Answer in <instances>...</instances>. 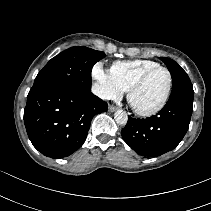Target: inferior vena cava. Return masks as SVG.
Masks as SVG:
<instances>
[{
	"label": "inferior vena cava",
	"mask_w": 211,
	"mask_h": 211,
	"mask_svg": "<svg viewBox=\"0 0 211 211\" xmlns=\"http://www.w3.org/2000/svg\"><path fill=\"white\" fill-rule=\"evenodd\" d=\"M92 92L102 99H108L109 97L107 91L103 87H101L99 84H94L92 86Z\"/></svg>",
	"instance_id": "1"
}]
</instances>
